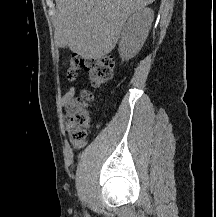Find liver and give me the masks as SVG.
<instances>
[{"label": "liver", "mask_w": 216, "mask_h": 217, "mask_svg": "<svg viewBox=\"0 0 216 217\" xmlns=\"http://www.w3.org/2000/svg\"><path fill=\"white\" fill-rule=\"evenodd\" d=\"M154 1L56 0V42L85 59L99 60L114 49L128 17Z\"/></svg>", "instance_id": "1"}]
</instances>
